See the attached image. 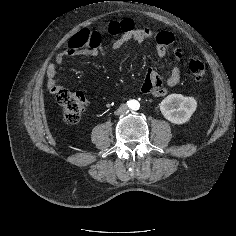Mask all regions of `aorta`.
I'll list each match as a JSON object with an SVG mask.
<instances>
[{
    "instance_id": "762f6f07",
    "label": "aorta",
    "mask_w": 236,
    "mask_h": 236,
    "mask_svg": "<svg viewBox=\"0 0 236 236\" xmlns=\"http://www.w3.org/2000/svg\"><path fill=\"white\" fill-rule=\"evenodd\" d=\"M131 108H132L133 110H138V109L140 108L139 102L136 101V100H133V101H132V104H131Z\"/></svg>"
}]
</instances>
